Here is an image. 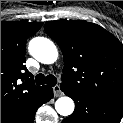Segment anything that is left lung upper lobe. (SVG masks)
I'll return each mask as SVG.
<instances>
[{"instance_id": "1", "label": "left lung upper lobe", "mask_w": 123, "mask_h": 123, "mask_svg": "<svg viewBox=\"0 0 123 123\" xmlns=\"http://www.w3.org/2000/svg\"><path fill=\"white\" fill-rule=\"evenodd\" d=\"M46 33L62 50V86L123 107V45L86 21H48Z\"/></svg>"}]
</instances>
